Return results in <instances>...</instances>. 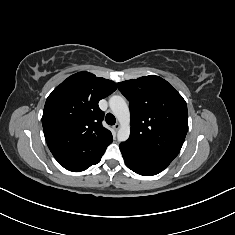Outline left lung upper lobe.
<instances>
[{
	"label": "left lung upper lobe",
	"instance_id": "5c2ea615",
	"mask_svg": "<svg viewBox=\"0 0 235 235\" xmlns=\"http://www.w3.org/2000/svg\"><path fill=\"white\" fill-rule=\"evenodd\" d=\"M130 102L131 147L172 162L188 131L183 97L159 76H144L117 84Z\"/></svg>",
	"mask_w": 235,
	"mask_h": 235
}]
</instances>
